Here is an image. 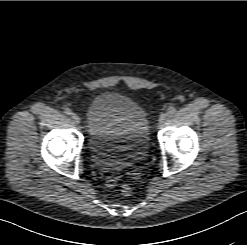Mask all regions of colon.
Listing matches in <instances>:
<instances>
[{"instance_id":"1","label":"colon","mask_w":247,"mask_h":245,"mask_svg":"<svg viewBox=\"0 0 247 245\" xmlns=\"http://www.w3.org/2000/svg\"><path fill=\"white\" fill-rule=\"evenodd\" d=\"M121 193H122L123 196H126V197L130 196L132 194L131 186L128 185V184L122 185L121 186Z\"/></svg>"}]
</instances>
